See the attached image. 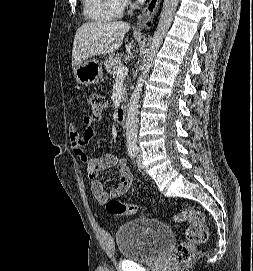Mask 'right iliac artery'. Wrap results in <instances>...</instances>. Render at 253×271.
I'll use <instances>...</instances> for the list:
<instances>
[{
	"instance_id": "82829eb1",
	"label": "right iliac artery",
	"mask_w": 253,
	"mask_h": 271,
	"mask_svg": "<svg viewBox=\"0 0 253 271\" xmlns=\"http://www.w3.org/2000/svg\"><path fill=\"white\" fill-rule=\"evenodd\" d=\"M127 151L130 158L134 160L136 156V142L135 141H129L127 143Z\"/></svg>"
}]
</instances>
